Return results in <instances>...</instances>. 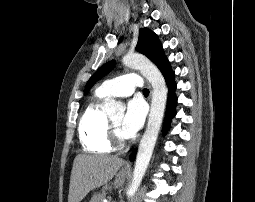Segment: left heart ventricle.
Returning <instances> with one entry per match:
<instances>
[{"mask_svg": "<svg viewBox=\"0 0 255 202\" xmlns=\"http://www.w3.org/2000/svg\"><path fill=\"white\" fill-rule=\"evenodd\" d=\"M123 118H124L123 115H118V116L113 117L111 120L114 123V125L117 127L120 135L127 138V136L125 135V133L122 129Z\"/></svg>", "mask_w": 255, "mask_h": 202, "instance_id": "obj_1", "label": "left heart ventricle"}]
</instances>
